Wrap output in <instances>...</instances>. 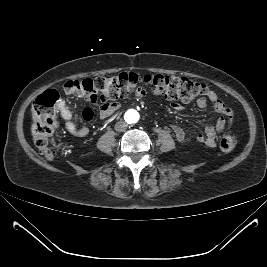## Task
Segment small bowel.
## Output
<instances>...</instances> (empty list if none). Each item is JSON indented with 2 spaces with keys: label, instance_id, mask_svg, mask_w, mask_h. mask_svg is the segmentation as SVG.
<instances>
[{
  "label": "small bowel",
  "instance_id": "c3829d8e",
  "mask_svg": "<svg viewBox=\"0 0 267 267\" xmlns=\"http://www.w3.org/2000/svg\"><path fill=\"white\" fill-rule=\"evenodd\" d=\"M75 81L76 80H71L64 84V93L66 95H78L82 98L90 100L89 94L83 88L74 85ZM208 104H211L213 110L220 114L216 125H208L205 128V132L200 133L191 128L174 124L172 125V130L179 142H187L189 141L191 134H195L199 143L208 147H214L216 145L217 134L224 131L231 125L233 111L227 104L222 102L214 92L210 90L206 96L200 97L197 100V105L200 108H206ZM172 106L179 111L183 109L181 104L174 103ZM57 108L60 117L64 120L65 129L69 134L80 138L86 137L89 134V129L87 127H79L75 124L73 120V112L63 100L58 103ZM118 109L119 104L117 103H103L99 109V116L102 119H107L114 115ZM93 115L94 113L91 108L87 107L82 111V117L87 122L92 120Z\"/></svg>",
  "mask_w": 267,
  "mask_h": 267
}]
</instances>
